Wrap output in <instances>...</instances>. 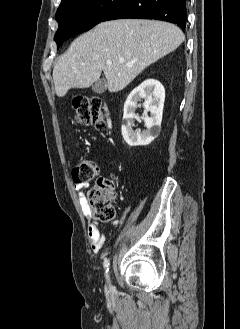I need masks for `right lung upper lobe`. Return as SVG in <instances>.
<instances>
[{"label":"right lung upper lobe","mask_w":240,"mask_h":329,"mask_svg":"<svg viewBox=\"0 0 240 329\" xmlns=\"http://www.w3.org/2000/svg\"><path fill=\"white\" fill-rule=\"evenodd\" d=\"M70 1H72V0H62L59 8L62 7V6H64L65 4H67Z\"/></svg>","instance_id":"1"}]
</instances>
